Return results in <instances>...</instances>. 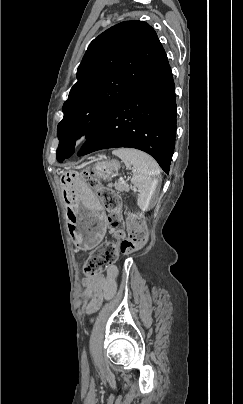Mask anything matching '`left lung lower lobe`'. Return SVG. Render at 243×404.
Listing matches in <instances>:
<instances>
[{
    "label": "left lung lower lobe",
    "instance_id": "left-lung-lower-lobe-1",
    "mask_svg": "<svg viewBox=\"0 0 243 404\" xmlns=\"http://www.w3.org/2000/svg\"><path fill=\"white\" fill-rule=\"evenodd\" d=\"M175 135V85L166 60L106 113L77 155L108 148H136L153 156L168 174Z\"/></svg>",
    "mask_w": 243,
    "mask_h": 404
}]
</instances>
